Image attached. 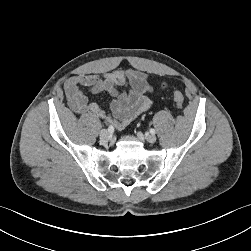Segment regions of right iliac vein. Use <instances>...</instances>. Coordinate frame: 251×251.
<instances>
[{
    "label": "right iliac vein",
    "instance_id": "63e3f726",
    "mask_svg": "<svg viewBox=\"0 0 251 251\" xmlns=\"http://www.w3.org/2000/svg\"><path fill=\"white\" fill-rule=\"evenodd\" d=\"M110 138V132L106 129H103L101 132H100V140L102 142H107Z\"/></svg>",
    "mask_w": 251,
    "mask_h": 251
}]
</instances>
